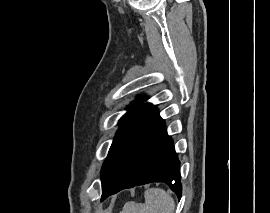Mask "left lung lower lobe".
<instances>
[{"mask_svg":"<svg viewBox=\"0 0 270 213\" xmlns=\"http://www.w3.org/2000/svg\"><path fill=\"white\" fill-rule=\"evenodd\" d=\"M180 162L164 120L154 111L137 128L102 179V201L118 191L151 182L166 183L181 198Z\"/></svg>","mask_w":270,"mask_h":213,"instance_id":"0a47b994","label":"left lung lower lobe"}]
</instances>
